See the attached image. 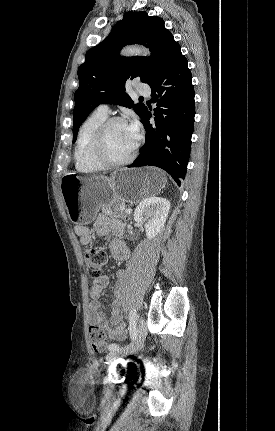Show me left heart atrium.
Masks as SVG:
<instances>
[{"instance_id":"39dd6f15","label":"left heart atrium","mask_w":275,"mask_h":431,"mask_svg":"<svg viewBox=\"0 0 275 431\" xmlns=\"http://www.w3.org/2000/svg\"><path fill=\"white\" fill-rule=\"evenodd\" d=\"M129 136L134 145L137 144L139 138V124L136 120H132L129 124H127Z\"/></svg>"}]
</instances>
